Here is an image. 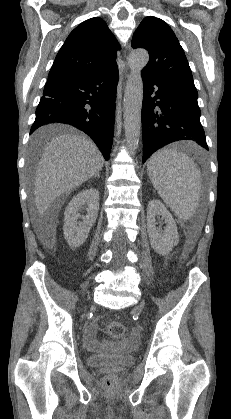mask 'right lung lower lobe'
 <instances>
[{
    "label": "right lung lower lobe",
    "instance_id": "98d812e1",
    "mask_svg": "<svg viewBox=\"0 0 231 419\" xmlns=\"http://www.w3.org/2000/svg\"><path fill=\"white\" fill-rule=\"evenodd\" d=\"M118 67L91 77L47 82L30 134L49 123L71 124L88 134L109 159Z\"/></svg>",
    "mask_w": 231,
    "mask_h": 419
}]
</instances>
